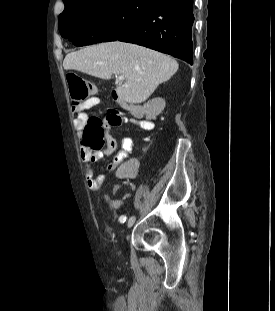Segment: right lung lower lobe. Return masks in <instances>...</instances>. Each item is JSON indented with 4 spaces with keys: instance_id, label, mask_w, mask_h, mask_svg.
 I'll return each instance as SVG.
<instances>
[{
    "instance_id": "obj_1",
    "label": "right lung lower lobe",
    "mask_w": 275,
    "mask_h": 311,
    "mask_svg": "<svg viewBox=\"0 0 275 311\" xmlns=\"http://www.w3.org/2000/svg\"><path fill=\"white\" fill-rule=\"evenodd\" d=\"M193 23V0H161L115 40L167 53L192 65Z\"/></svg>"
}]
</instances>
